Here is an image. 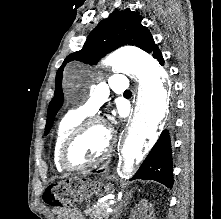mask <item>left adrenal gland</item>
<instances>
[{"label": "left adrenal gland", "mask_w": 221, "mask_h": 219, "mask_svg": "<svg viewBox=\"0 0 221 219\" xmlns=\"http://www.w3.org/2000/svg\"><path fill=\"white\" fill-rule=\"evenodd\" d=\"M128 196H130L131 197V192L128 194ZM127 200H128V198H127ZM122 203L120 204V206L114 211L115 212V215H114V217L112 218V219H114V218H116V219H118V217L120 216V214L122 213Z\"/></svg>", "instance_id": "a2214340"}]
</instances>
